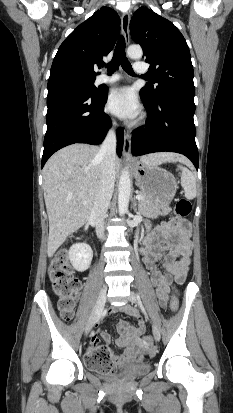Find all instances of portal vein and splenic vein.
<instances>
[{
    "mask_svg": "<svg viewBox=\"0 0 233 413\" xmlns=\"http://www.w3.org/2000/svg\"><path fill=\"white\" fill-rule=\"evenodd\" d=\"M136 198L138 199V200H141L142 199V196L140 195V194H137L136 195ZM86 202H84V204H85Z\"/></svg>",
    "mask_w": 233,
    "mask_h": 413,
    "instance_id": "1",
    "label": "portal vein and splenic vein"
}]
</instances>
